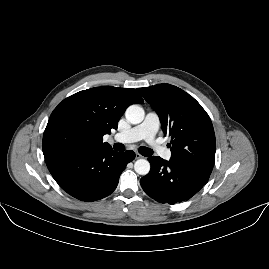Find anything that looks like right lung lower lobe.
Returning a JSON list of instances; mask_svg holds the SVG:
<instances>
[{"label": "right lung lower lobe", "instance_id": "1", "mask_svg": "<svg viewBox=\"0 0 269 269\" xmlns=\"http://www.w3.org/2000/svg\"><path fill=\"white\" fill-rule=\"evenodd\" d=\"M134 158L135 153L130 150L119 153L111 147H89L45 159L50 173L64 191L81 201L91 202L116 189L120 174Z\"/></svg>", "mask_w": 269, "mask_h": 269}]
</instances>
